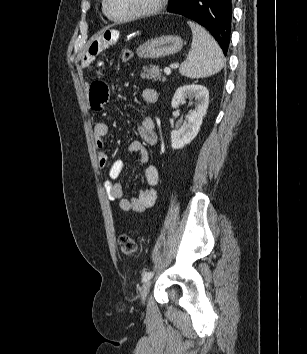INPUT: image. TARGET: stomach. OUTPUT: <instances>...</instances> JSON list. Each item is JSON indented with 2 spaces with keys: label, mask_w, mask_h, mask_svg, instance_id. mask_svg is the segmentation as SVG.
Masks as SVG:
<instances>
[{
  "label": "stomach",
  "mask_w": 307,
  "mask_h": 354,
  "mask_svg": "<svg viewBox=\"0 0 307 354\" xmlns=\"http://www.w3.org/2000/svg\"><path fill=\"white\" fill-rule=\"evenodd\" d=\"M183 40L177 35H164L150 39L139 46L137 55L140 58L159 59L181 51Z\"/></svg>",
  "instance_id": "0dacf381"
}]
</instances>
